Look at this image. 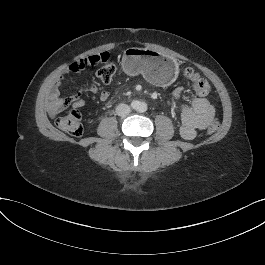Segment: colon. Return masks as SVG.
Wrapping results in <instances>:
<instances>
[{"label":"colon","instance_id":"colon-1","mask_svg":"<svg viewBox=\"0 0 265 265\" xmlns=\"http://www.w3.org/2000/svg\"><path fill=\"white\" fill-rule=\"evenodd\" d=\"M101 65L97 76L104 83H109L114 76L116 66L115 62L108 53L103 52L96 55H92L83 59H80L69 66L67 72H77L89 66ZM182 74L193 82V88L197 95L205 96L210 90L211 86L209 82L201 77L191 68H185ZM57 126L63 131L67 132L71 136L78 137L83 132V126L81 123V112L78 109H73L66 115L57 119ZM220 127L218 120L212 121L208 126V132L214 133Z\"/></svg>","mask_w":265,"mask_h":265}]
</instances>
